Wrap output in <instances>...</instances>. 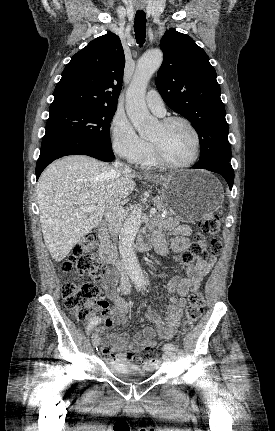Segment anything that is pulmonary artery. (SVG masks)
Returning <instances> with one entry per match:
<instances>
[{
  "label": "pulmonary artery",
  "mask_w": 275,
  "mask_h": 431,
  "mask_svg": "<svg viewBox=\"0 0 275 431\" xmlns=\"http://www.w3.org/2000/svg\"><path fill=\"white\" fill-rule=\"evenodd\" d=\"M146 103L149 109L158 116H163L166 112L165 104L160 94L152 89L146 95Z\"/></svg>",
  "instance_id": "obj_1"
}]
</instances>
